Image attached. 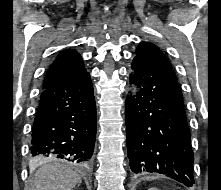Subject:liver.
<instances>
[{
	"instance_id": "liver-1",
	"label": "liver",
	"mask_w": 221,
	"mask_h": 190,
	"mask_svg": "<svg viewBox=\"0 0 221 190\" xmlns=\"http://www.w3.org/2000/svg\"><path fill=\"white\" fill-rule=\"evenodd\" d=\"M81 182V176L69 167L40 163L31 180L30 190H72Z\"/></svg>"
}]
</instances>
